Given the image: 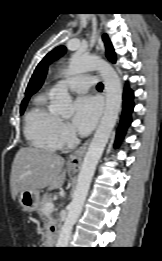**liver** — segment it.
I'll list each match as a JSON object with an SVG mask.
<instances>
[{"mask_svg": "<svg viewBox=\"0 0 162 261\" xmlns=\"http://www.w3.org/2000/svg\"><path fill=\"white\" fill-rule=\"evenodd\" d=\"M64 159L51 151L22 147L15 155L10 187L12 198L21 191H38L43 188L55 190L61 188L66 173L63 171Z\"/></svg>", "mask_w": 162, "mask_h": 261, "instance_id": "1", "label": "liver"}]
</instances>
